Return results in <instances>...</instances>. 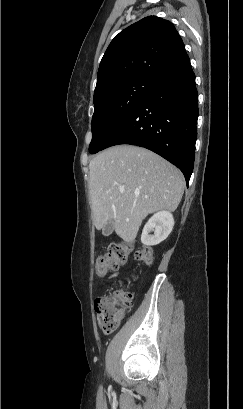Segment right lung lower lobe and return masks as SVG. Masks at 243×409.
Here are the masks:
<instances>
[{"instance_id": "obj_1", "label": "right lung lower lobe", "mask_w": 243, "mask_h": 409, "mask_svg": "<svg viewBox=\"0 0 243 409\" xmlns=\"http://www.w3.org/2000/svg\"><path fill=\"white\" fill-rule=\"evenodd\" d=\"M197 101L195 74L186 54L156 81L105 148L118 144L147 148L177 166L188 185L197 138Z\"/></svg>"}]
</instances>
